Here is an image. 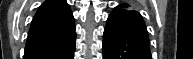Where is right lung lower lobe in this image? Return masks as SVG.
<instances>
[{
	"label": "right lung lower lobe",
	"mask_w": 193,
	"mask_h": 59,
	"mask_svg": "<svg viewBox=\"0 0 193 59\" xmlns=\"http://www.w3.org/2000/svg\"><path fill=\"white\" fill-rule=\"evenodd\" d=\"M76 33L44 47L25 49L24 59H73Z\"/></svg>",
	"instance_id": "1"
}]
</instances>
